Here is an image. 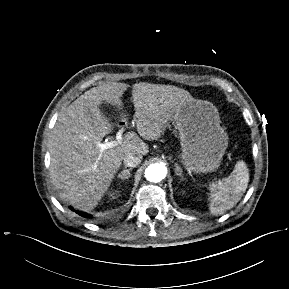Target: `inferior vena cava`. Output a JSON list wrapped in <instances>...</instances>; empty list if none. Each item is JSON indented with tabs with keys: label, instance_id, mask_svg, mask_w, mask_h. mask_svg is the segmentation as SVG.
<instances>
[{
	"label": "inferior vena cava",
	"instance_id": "obj_1",
	"mask_svg": "<svg viewBox=\"0 0 289 289\" xmlns=\"http://www.w3.org/2000/svg\"><path fill=\"white\" fill-rule=\"evenodd\" d=\"M141 160L142 155H138L132 152H128L123 158L124 165L127 167H136L141 163Z\"/></svg>",
	"mask_w": 289,
	"mask_h": 289
}]
</instances>
